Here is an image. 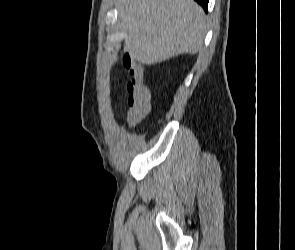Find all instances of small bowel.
I'll return each instance as SVG.
<instances>
[{
  "mask_svg": "<svg viewBox=\"0 0 295 250\" xmlns=\"http://www.w3.org/2000/svg\"><path fill=\"white\" fill-rule=\"evenodd\" d=\"M123 64L133 77H144V67L138 64L131 56H124Z\"/></svg>",
  "mask_w": 295,
  "mask_h": 250,
  "instance_id": "obj_1",
  "label": "small bowel"
}]
</instances>
